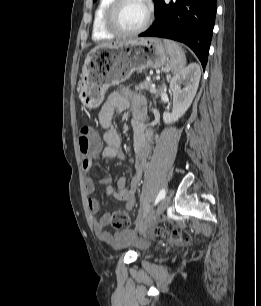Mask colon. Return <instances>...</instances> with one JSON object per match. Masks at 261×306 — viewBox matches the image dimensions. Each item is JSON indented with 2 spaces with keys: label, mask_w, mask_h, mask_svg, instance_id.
Here are the masks:
<instances>
[{
  "label": "colon",
  "mask_w": 261,
  "mask_h": 306,
  "mask_svg": "<svg viewBox=\"0 0 261 306\" xmlns=\"http://www.w3.org/2000/svg\"><path fill=\"white\" fill-rule=\"evenodd\" d=\"M79 148L83 160L97 155L101 149V140L90 126H83L78 135ZM110 223L117 230H127L130 227V217L123 210H116L110 215ZM162 238L182 242L184 237L176 230L156 229L153 232Z\"/></svg>",
  "instance_id": "1"
}]
</instances>
